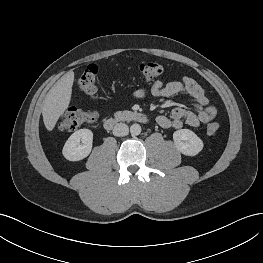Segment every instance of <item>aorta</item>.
Masks as SVG:
<instances>
[{
	"instance_id": "obj_1",
	"label": "aorta",
	"mask_w": 263,
	"mask_h": 263,
	"mask_svg": "<svg viewBox=\"0 0 263 263\" xmlns=\"http://www.w3.org/2000/svg\"><path fill=\"white\" fill-rule=\"evenodd\" d=\"M130 133L133 135V136H137L141 133V126L137 123L135 124H132L131 127H130Z\"/></svg>"
}]
</instances>
